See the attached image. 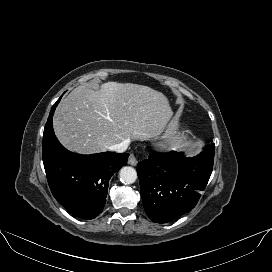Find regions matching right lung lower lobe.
Returning a JSON list of instances; mask_svg holds the SVG:
<instances>
[{"label": "right lung lower lobe", "instance_id": "right-lung-lower-lobe-1", "mask_svg": "<svg viewBox=\"0 0 272 272\" xmlns=\"http://www.w3.org/2000/svg\"><path fill=\"white\" fill-rule=\"evenodd\" d=\"M60 99L51 109L43 134L42 155L48 184L56 200L70 213L93 219L105 206L110 178L126 165L129 154L81 155L65 149L54 135L52 125Z\"/></svg>", "mask_w": 272, "mask_h": 272}]
</instances>
